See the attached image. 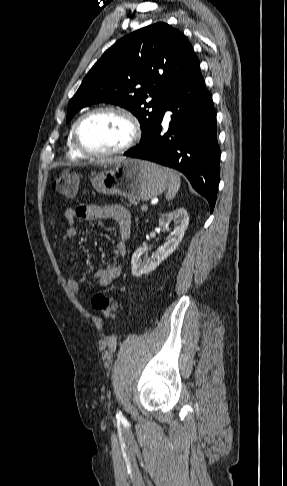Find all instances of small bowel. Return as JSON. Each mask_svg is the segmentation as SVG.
I'll return each instance as SVG.
<instances>
[{
	"label": "small bowel",
	"mask_w": 287,
	"mask_h": 486,
	"mask_svg": "<svg viewBox=\"0 0 287 486\" xmlns=\"http://www.w3.org/2000/svg\"><path fill=\"white\" fill-rule=\"evenodd\" d=\"M76 219L94 220V219H111L116 223V252L124 256L127 252V241L131 233V213L121 205H80L76 208H69L65 211L66 228L62 233L61 241L64 247V260L69 264L71 262V251L69 242L77 234ZM122 272V265L119 262H113L105 268H100L95 272V278L100 286L110 285ZM67 287L69 290L78 295L80 292L79 283L75 280L72 268L67 269Z\"/></svg>",
	"instance_id": "c3829d8e"
}]
</instances>
